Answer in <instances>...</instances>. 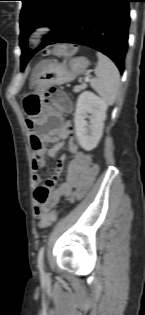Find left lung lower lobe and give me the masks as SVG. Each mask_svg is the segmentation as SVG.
<instances>
[{
	"mask_svg": "<svg viewBox=\"0 0 145 315\" xmlns=\"http://www.w3.org/2000/svg\"><path fill=\"white\" fill-rule=\"evenodd\" d=\"M133 0H75L62 27L41 48L55 43L89 46L107 55L124 71L130 25L129 2ZM27 38L20 40L22 56L32 57Z\"/></svg>",
	"mask_w": 145,
	"mask_h": 315,
	"instance_id": "0a47b994",
	"label": "left lung lower lobe"
}]
</instances>
